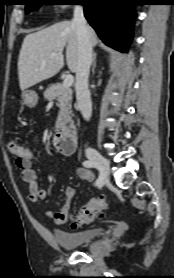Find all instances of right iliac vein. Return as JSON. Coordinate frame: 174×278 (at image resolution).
Returning a JSON list of instances; mask_svg holds the SVG:
<instances>
[{
    "label": "right iliac vein",
    "instance_id": "right-iliac-vein-1",
    "mask_svg": "<svg viewBox=\"0 0 174 278\" xmlns=\"http://www.w3.org/2000/svg\"><path fill=\"white\" fill-rule=\"evenodd\" d=\"M88 158L90 160L96 162L100 166L105 178H107L108 175H109V163H108V161L97 151L90 152L88 154Z\"/></svg>",
    "mask_w": 174,
    "mask_h": 278
}]
</instances>
